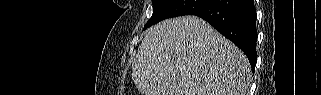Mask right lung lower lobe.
<instances>
[{"label":"right lung lower lobe","mask_w":321,"mask_h":95,"mask_svg":"<svg viewBox=\"0 0 321 95\" xmlns=\"http://www.w3.org/2000/svg\"><path fill=\"white\" fill-rule=\"evenodd\" d=\"M237 45L248 57L254 71L256 55V10L253 0H209L194 11Z\"/></svg>","instance_id":"right-lung-lower-lobe-1"}]
</instances>
